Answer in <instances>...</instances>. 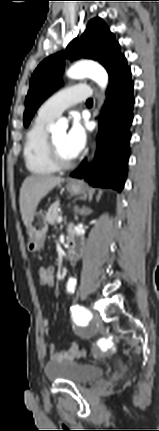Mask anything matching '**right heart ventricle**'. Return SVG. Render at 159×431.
<instances>
[{
	"mask_svg": "<svg viewBox=\"0 0 159 431\" xmlns=\"http://www.w3.org/2000/svg\"><path fill=\"white\" fill-rule=\"evenodd\" d=\"M51 120L52 118L38 113L26 133L23 158L27 170L35 175H50L58 170L48 154L47 125Z\"/></svg>",
	"mask_w": 159,
	"mask_h": 431,
	"instance_id": "obj_1",
	"label": "right heart ventricle"
}]
</instances>
